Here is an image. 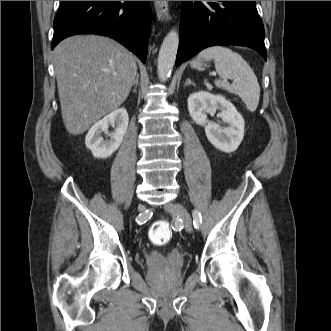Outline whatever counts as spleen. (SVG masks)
<instances>
[{
	"instance_id": "1",
	"label": "spleen",
	"mask_w": 331,
	"mask_h": 331,
	"mask_svg": "<svg viewBox=\"0 0 331 331\" xmlns=\"http://www.w3.org/2000/svg\"><path fill=\"white\" fill-rule=\"evenodd\" d=\"M198 58L214 61L220 77L214 82L216 87L238 95L249 111L254 112L257 109L260 86L254 71L240 54L216 45L202 50ZM227 79H232L233 84H228Z\"/></svg>"
}]
</instances>
